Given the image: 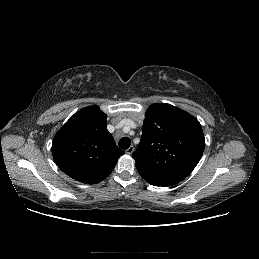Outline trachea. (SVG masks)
<instances>
[{
    "label": "trachea",
    "mask_w": 259,
    "mask_h": 259,
    "mask_svg": "<svg viewBox=\"0 0 259 259\" xmlns=\"http://www.w3.org/2000/svg\"><path fill=\"white\" fill-rule=\"evenodd\" d=\"M121 149H128L131 145V140L128 137H123L118 143Z\"/></svg>",
    "instance_id": "obj_1"
}]
</instances>
